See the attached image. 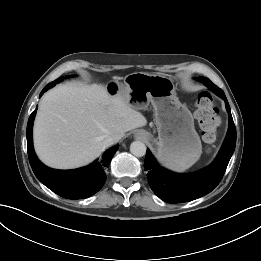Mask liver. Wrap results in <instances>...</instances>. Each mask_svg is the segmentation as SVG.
<instances>
[{"label": "liver", "mask_w": 261, "mask_h": 261, "mask_svg": "<svg viewBox=\"0 0 261 261\" xmlns=\"http://www.w3.org/2000/svg\"><path fill=\"white\" fill-rule=\"evenodd\" d=\"M146 124L140 112L104 86L63 84L41 99L34 122V148L47 166L77 168L105 150L108 136L119 141L127 131Z\"/></svg>", "instance_id": "liver-1"}]
</instances>
